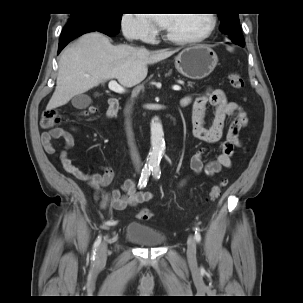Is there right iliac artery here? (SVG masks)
Wrapping results in <instances>:
<instances>
[{"label": "right iliac artery", "instance_id": "obj_1", "mask_svg": "<svg viewBox=\"0 0 303 303\" xmlns=\"http://www.w3.org/2000/svg\"><path fill=\"white\" fill-rule=\"evenodd\" d=\"M151 170H152V166H150V165H145L144 168L142 169L141 177L139 179V184H138V186L140 188H143L146 186L148 178L151 174ZM113 223H116V222L108 221L106 224H113ZM100 243H101V236L99 235L93 246V253H92L93 260H95L96 250H97L98 246L100 245Z\"/></svg>", "mask_w": 303, "mask_h": 303}]
</instances>
